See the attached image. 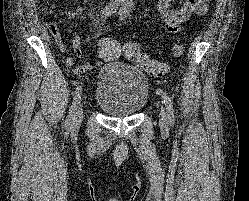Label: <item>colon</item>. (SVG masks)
Returning <instances> with one entry per match:
<instances>
[{"label": "colon", "mask_w": 249, "mask_h": 201, "mask_svg": "<svg viewBox=\"0 0 249 201\" xmlns=\"http://www.w3.org/2000/svg\"><path fill=\"white\" fill-rule=\"evenodd\" d=\"M123 52L126 59L132 61L138 68L148 72L153 76H162L167 70V66L162 61L152 59L144 53L135 42L125 43L123 46L112 39L103 38L99 43V55L104 60H113ZM172 55L180 57L184 52V45L176 43L172 47Z\"/></svg>", "instance_id": "colon-1"}]
</instances>
